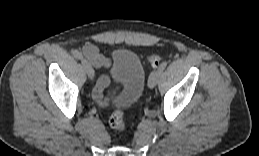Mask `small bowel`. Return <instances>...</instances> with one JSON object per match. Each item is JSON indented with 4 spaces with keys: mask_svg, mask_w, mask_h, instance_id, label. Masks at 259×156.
I'll return each instance as SVG.
<instances>
[{
    "mask_svg": "<svg viewBox=\"0 0 259 156\" xmlns=\"http://www.w3.org/2000/svg\"><path fill=\"white\" fill-rule=\"evenodd\" d=\"M82 52L94 67L108 68L111 65V60L108 57H105L104 55H102L99 52L98 48L93 44L84 45ZM108 84H109L108 76L103 75L102 77H100L93 92L94 98L102 106L107 104V100L103 96V90L107 87Z\"/></svg>",
    "mask_w": 259,
    "mask_h": 156,
    "instance_id": "1",
    "label": "small bowel"
}]
</instances>
